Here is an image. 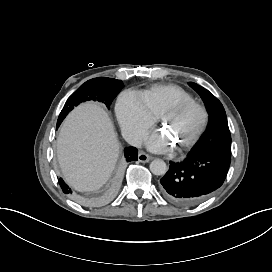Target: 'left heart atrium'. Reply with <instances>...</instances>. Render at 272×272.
Instances as JSON below:
<instances>
[{
  "instance_id": "obj_1",
  "label": "left heart atrium",
  "mask_w": 272,
  "mask_h": 272,
  "mask_svg": "<svg viewBox=\"0 0 272 272\" xmlns=\"http://www.w3.org/2000/svg\"><path fill=\"white\" fill-rule=\"evenodd\" d=\"M148 147L157 152H163L168 149L169 139L167 136L159 133L153 132L147 139Z\"/></svg>"
}]
</instances>
